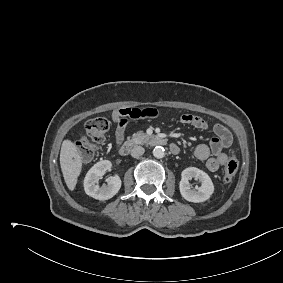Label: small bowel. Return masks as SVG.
I'll use <instances>...</instances> for the list:
<instances>
[{
	"label": "small bowel",
	"instance_id": "obj_1",
	"mask_svg": "<svg viewBox=\"0 0 283 283\" xmlns=\"http://www.w3.org/2000/svg\"><path fill=\"white\" fill-rule=\"evenodd\" d=\"M159 111L155 108H122L113 112L112 119L117 124L115 131L116 143L120 145L124 140L125 130L129 119L156 118ZM183 124H187L199 130H208L207 122L195 114H183L180 117ZM213 137L209 144H200L194 150L197 159L204 161L209 171H217L227 162L225 149L232 145L231 132L222 124L212 127Z\"/></svg>",
	"mask_w": 283,
	"mask_h": 283
}]
</instances>
